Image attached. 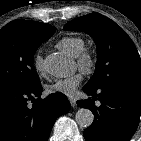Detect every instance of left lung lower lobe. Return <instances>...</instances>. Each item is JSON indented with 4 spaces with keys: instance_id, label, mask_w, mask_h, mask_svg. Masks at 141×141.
Listing matches in <instances>:
<instances>
[{
    "instance_id": "obj_1",
    "label": "left lung lower lobe",
    "mask_w": 141,
    "mask_h": 141,
    "mask_svg": "<svg viewBox=\"0 0 141 141\" xmlns=\"http://www.w3.org/2000/svg\"><path fill=\"white\" fill-rule=\"evenodd\" d=\"M83 91L93 97L77 104L95 115L93 123L84 130L86 141H129L141 115V85L117 83L98 90L84 86ZM97 99L101 102L99 107L95 106Z\"/></svg>"
}]
</instances>
